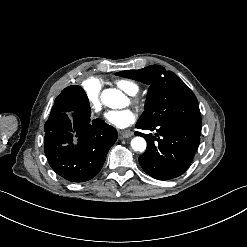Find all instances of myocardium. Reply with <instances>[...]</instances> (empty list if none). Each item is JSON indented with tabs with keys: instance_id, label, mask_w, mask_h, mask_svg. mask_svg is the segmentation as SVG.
Wrapping results in <instances>:
<instances>
[{
	"instance_id": "obj_1",
	"label": "myocardium",
	"mask_w": 247,
	"mask_h": 247,
	"mask_svg": "<svg viewBox=\"0 0 247 247\" xmlns=\"http://www.w3.org/2000/svg\"><path fill=\"white\" fill-rule=\"evenodd\" d=\"M135 101H136L137 103H140L141 105H144V103H145V100L142 99V98H136Z\"/></svg>"
}]
</instances>
